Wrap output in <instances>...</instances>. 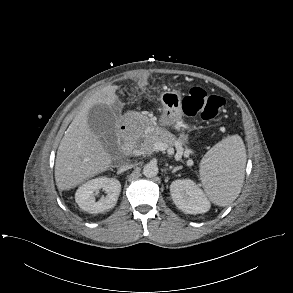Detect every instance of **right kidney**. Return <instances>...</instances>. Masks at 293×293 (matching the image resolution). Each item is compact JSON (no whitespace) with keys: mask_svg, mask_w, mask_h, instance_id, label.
I'll use <instances>...</instances> for the list:
<instances>
[{"mask_svg":"<svg viewBox=\"0 0 293 293\" xmlns=\"http://www.w3.org/2000/svg\"><path fill=\"white\" fill-rule=\"evenodd\" d=\"M100 189L105 190L107 195L95 201L94 193ZM121 192V184L117 179L98 177L87 181L78 188L75 200L78 206L88 213H102L113 208Z\"/></svg>","mask_w":293,"mask_h":293,"instance_id":"right-kidney-1","label":"right kidney"}]
</instances>
